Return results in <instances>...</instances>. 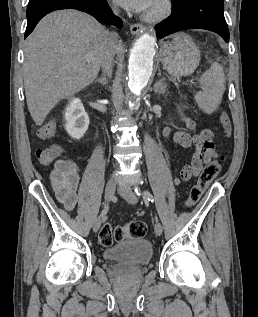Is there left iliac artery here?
<instances>
[{
  "mask_svg": "<svg viewBox=\"0 0 258 317\" xmlns=\"http://www.w3.org/2000/svg\"><path fill=\"white\" fill-rule=\"evenodd\" d=\"M134 192L136 193V195L142 196L144 199H147L151 203H154V197L148 190H145V191L141 192L140 187L135 185L134 186Z\"/></svg>",
  "mask_w": 258,
  "mask_h": 317,
  "instance_id": "left-iliac-artery-1",
  "label": "left iliac artery"
}]
</instances>
